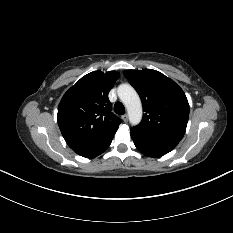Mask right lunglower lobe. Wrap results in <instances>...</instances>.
Returning <instances> with one entry per match:
<instances>
[{"label": "right lung lower lobe", "mask_w": 233, "mask_h": 233, "mask_svg": "<svg viewBox=\"0 0 233 233\" xmlns=\"http://www.w3.org/2000/svg\"><path fill=\"white\" fill-rule=\"evenodd\" d=\"M113 135L107 137L106 139L102 140L101 142L94 144L92 146L80 148L77 150H74L77 154L80 156L86 157V158H94L101 153H103L111 144Z\"/></svg>", "instance_id": "obj_1"}]
</instances>
